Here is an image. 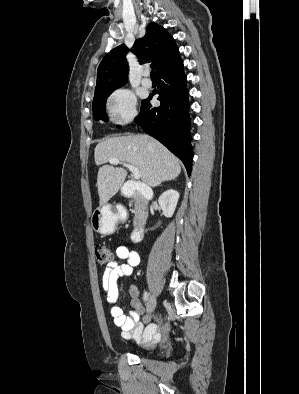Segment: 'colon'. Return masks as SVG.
<instances>
[{
  "instance_id": "colon-1",
  "label": "colon",
  "mask_w": 299,
  "mask_h": 394,
  "mask_svg": "<svg viewBox=\"0 0 299 394\" xmlns=\"http://www.w3.org/2000/svg\"><path fill=\"white\" fill-rule=\"evenodd\" d=\"M95 257L99 265H108L113 261V252L106 244H97L95 246Z\"/></svg>"
}]
</instances>
